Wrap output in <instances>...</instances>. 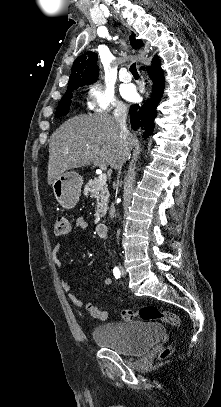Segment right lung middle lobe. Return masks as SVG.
Instances as JSON below:
<instances>
[{
    "label": "right lung middle lobe",
    "mask_w": 221,
    "mask_h": 407,
    "mask_svg": "<svg viewBox=\"0 0 221 407\" xmlns=\"http://www.w3.org/2000/svg\"><path fill=\"white\" fill-rule=\"evenodd\" d=\"M73 90H68L66 91L65 95L62 97L59 106L57 108L55 117H61V116H65L69 109H70V105H71V99L73 97Z\"/></svg>",
    "instance_id": "right-lung-middle-lobe-1"
}]
</instances>
